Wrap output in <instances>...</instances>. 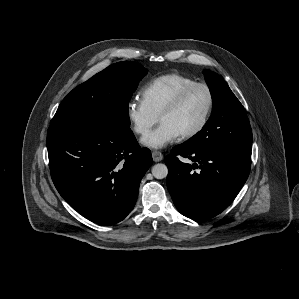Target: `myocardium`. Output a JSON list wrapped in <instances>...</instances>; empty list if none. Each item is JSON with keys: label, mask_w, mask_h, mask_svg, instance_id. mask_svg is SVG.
<instances>
[{"label": "myocardium", "mask_w": 299, "mask_h": 299, "mask_svg": "<svg viewBox=\"0 0 299 299\" xmlns=\"http://www.w3.org/2000/svg\"><path fill=\"white\" fill-rule=\"evenodd\" d=\"M195 88H202L205 90L208 98V103H207L205 113L201 121L199 122V124L196 127H194L192 130L180 135L181 138L183 139H190L197 136L199 133L203 131V129L208 124L214 106V95L210 86L204 82H194L192 84L187 85L171 99V101L163 108V110L159 115V120H161L163 116L176 110L184 101L186 96Z\"/></svg>", "instance_id": "obj_1"}]
</instances>
